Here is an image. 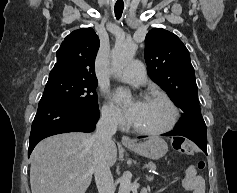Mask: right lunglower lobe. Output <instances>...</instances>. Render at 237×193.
<instances>
[{
    "instance_id": "right-lung-lower-lobe-1",
    "label": "right lung lower lobe",
    "mask_w": 237,
    "mask_h": 193,
    "mask_svg": "<svg viewBox=\"0 0 237 193\" xmlns=\"http://www.w3.org/2000/svg\"><path fill=\"white\" fill-rule=\"evenodd\" d=\"M98 110H81L68 105L40 101L30 133L28 155L42 139L65 132H91L99 119Z\"/></svg>"
}]
</instances>
